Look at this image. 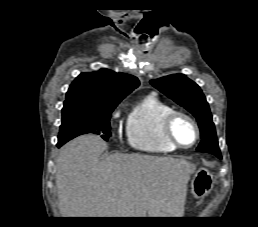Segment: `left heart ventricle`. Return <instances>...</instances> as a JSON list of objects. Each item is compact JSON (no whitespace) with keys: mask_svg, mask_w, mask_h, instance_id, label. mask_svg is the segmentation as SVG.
<instances>
[{"mask_svg":"<svg viewBox=\"0 0 258 227\" xmlns=\"http://www.w3.org/2000/svg\"><path fill=\"white\" fill-rule=\"evenodd\" d=\"M177 140L183 145H190L195 139V130L191 123L184 118H177L173 125Z\"/></svg>","mask_w":258,"mask_h":227,"instance_id":"b2bd125f","label":"left heart ventricle"}]
</instances>
